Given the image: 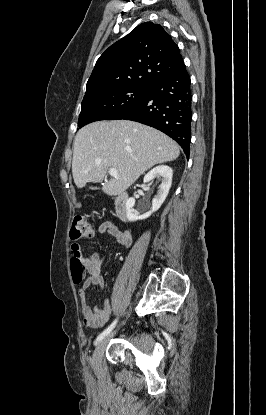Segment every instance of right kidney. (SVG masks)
I'll return each instance as SVG.
<instances>
[{
    "label": "right kidney",
    "instance_id": "obj_1",
    "mask_svg": "<svg viewBox=\"0 0 266 415\" xmlns=\"http://www.w3.org/2000/svg\"><path fill=\"white\" fill-rule=\"evenodd\" d=\"M172 176L173 171L169 166L166 165H160L155 168H153L151 171H149L143 179L144 183H151L152 180L155 178L161 180V184L159 185L158 192L156 196L152 200V207L151 210L142 214L138 215L137 213H134L133 206L135 205V199L133 197H130L126 202V210H127V218L129 221H137V220H143L151 216L152 213L157 211L163 202L165 201L169 189L171 187L172 183Z\"/></svg>",
    "mask_w": 266,
    "mask_h": 415
}]
</instances>
